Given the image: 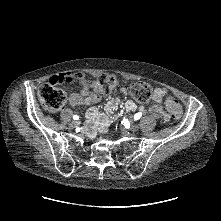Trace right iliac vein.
<instances>
[{
    "instance_id": "1",
    "label": "right iliac vein",
    "mask_w": 221,
    "mask_h": 221,
    "mask_svg": "<svg viewBox=\"0 0 221 221\" xmlns=\"http://www.w3.org/2000/svg\"><path fill=\"white\" fill-rule=\"evenodd\" d=\"M78 125H79V121H72L71 124H70V126L72 128H76Z\"/></svg>"
}]
</instances>
